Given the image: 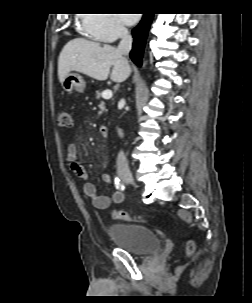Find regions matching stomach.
<instances>
[{"label":"stomach","mask_w":252,"mask_h":303,"mask_svg":"<svg viewBox=\"0 0 252 303\" xmlns=\"http://www.w3.org/2000/svg\"><path fill=\"white\" fill-rule=\"evenodd\" d=\"M61 86L64 91L72 92L73 90L77 92H84L85 90V81L77 73H69L61 83Z\"/></svg>","instance_id":"stomach-1"}]
</instances>
